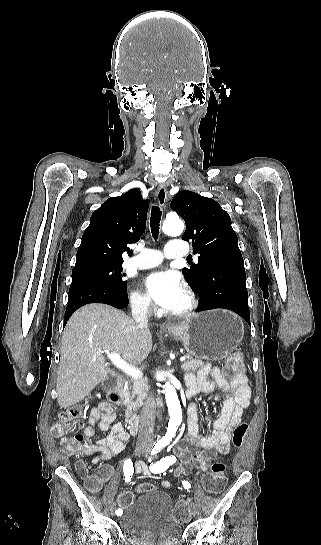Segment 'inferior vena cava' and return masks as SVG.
<instances>
[{"mask_svg": "<svg viewBox=\"0 0 321 545\" xmlns=\"http://www.w3.org/2000/svg\"><path fill=\"white\" fill-rule=\"evenodd\" d=\"M148 305L149 301H140V299H136L131 305L132 317L141 327H147L148 325ZM154 423L155 401L153 395H148L139 421V433L136 443V448L139 451H149L152 448Z\"/></svg>", "mask_w": 321, "mask_h": 545, "instance_id": "obj_1", "label": "inferior vena cava"}]
</instances>
